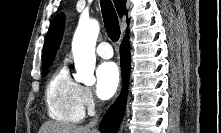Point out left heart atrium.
I'll return each instance as SVG.
<instances>
[{"label":"left heart atrium","mask_w":221,"mask_h":133,"mask_svg":"<svg viewBox=\"0 0 221 133\" xmlns=\"http://www.w3.org/2000/svg\"><path fill=\"white\" fill-rule=\"evenodd\" d=\"M120 82L119 70L113 62H104L96 69V92L102 99L114 95Z\"/></svg>","instance_id":"1"}]
</instances>
